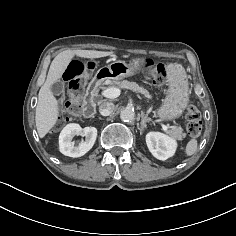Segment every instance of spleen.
<instances>
[{"label": "spleen", "mask_w": 236, "mask_h": 236, "mask_svg": "<svg viewBox=\"0 0 236 236\" xmlns=\"http://www.w3.org/2000/svg\"><path fill=\"white\" fill-rule=\"evenodd\" d=\"M197 140L191 139L186 146L185 153L187 156H192L197 150Z\"/></svg>", "instance_id": "1"}]
</instances>
